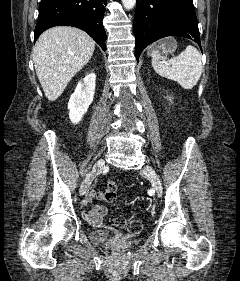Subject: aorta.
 Segmentation results:
<instances>
[{"label":"aorta","mask_w":240,"mask_h":281,"mask_svg":"<svg viewBox=\"0 0 240 281\" xmlns=\"http://www.w3.org/2000/svg\"><path fill=\"white\" fill-rule=\"evenodd\" d=\"M122 4L126 10H130L135 6L136 0H122Z\"/></svg>","instance_id":"aorta-1"}]
</instances>
